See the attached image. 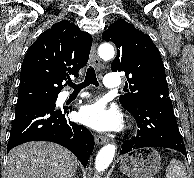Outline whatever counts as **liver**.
<instances>
[{
  "label": "liver",
  "instance_id": "liver-1",
  "mask_svg": "<svg viewBox=\"0 0 194 178\" xmlns=\"http://www.w3.org/2000/svg\"><path fill=\"white\" fill-rule=\"evenodd\" d=\"M79 165L69 150L55 143H24L8 154L6 178H71Z\"/></svg>",
  "mask_w": 194,
  "mask_h": 178
}]
</instances>
